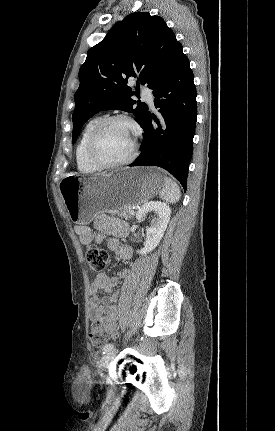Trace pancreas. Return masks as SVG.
Segmentation results:
<instances>
[{
    "label": "pancreas",
    "mask_w": 275,
    "mask_h": 431,
    "mask_svg": "<svg viewBox=\"0 0 275 431\" xmlns=\"http://www.w3.org/2000/svg\"><path fill=\"white\" fill-rule=\"evenodd\" d=\"M117 216L124 218L126 220L131 219L132 215L129 214V212L127 210H123V211H119L116 213Z\"/></svg>",
    "instance_id": "obj_1"
}]
</instances>
